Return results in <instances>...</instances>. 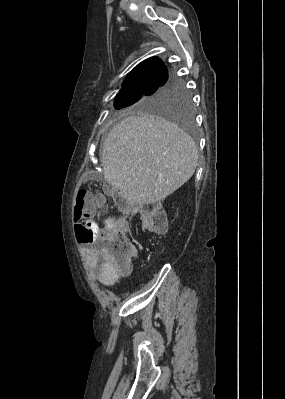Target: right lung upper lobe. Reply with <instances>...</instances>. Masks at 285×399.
Listing matches in <instances>:
<instances>
[{
    "instance_id": "right-lung-upper-lobe-1",
    "label": "right lung upper lobe",
    "mask_w": 285,
    "mask_h": 399,
    "mask_svg": "<svg viewBox=\"0 0 285 399\" xmlns=\"http://www.w3.org/2000/svg\"><path fill=\"white\" fill-rule=\"evenodd\" d=\"M167 74L166 66L159 58L152 57L146 59L128 74L118 94L136 93L147 89L158 88L162 85Z\"/></svg>"
}]
</instances>
